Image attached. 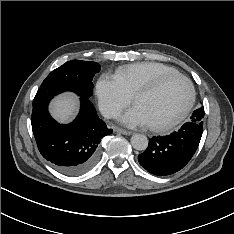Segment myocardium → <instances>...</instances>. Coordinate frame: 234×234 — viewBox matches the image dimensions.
Listing matches in <instances>:
<instances>
[{
  "mask_svg": "<svg viewBox=\"0 0 234 234\" xmlns=\"http://www.w3.org/2000/svg\"><path fill=\"white\" fill-rule=\"evenodd\" d=\"M173 79H180L182 81H184L186 83V85L188 86L189 89V99L188 102L185 106V108L181 111V113L176 116L174 119L162 123V124H156V125H150V129L156 132H163V131H168L174 127H176L177 125H179L189 114V112L191 111L194 102H195V98H196V93H195V88L193 86V83L191 82V80L186 77L183 74L180 73H175V74H168V75H164L158 79H156L155 81L140 87L133 95V102L136 103V100L138 97L142 96V95H147V94H151L155 91H157L158 89H160L164 84H166L167 82L173 80Z\"/></svg>",
  "mask_w": 234,
  "mask_h": 234,
  "instance_id": "1",
  "label": "myocardium"
}]
</instances>
